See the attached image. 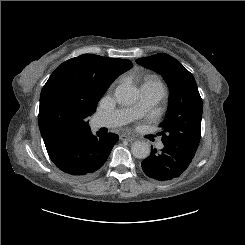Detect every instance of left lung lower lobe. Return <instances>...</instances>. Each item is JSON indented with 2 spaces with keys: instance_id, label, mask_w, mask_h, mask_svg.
Here are the masks:
<instances>
[{
  "instance_id": "0a47b994",
  "label": "left lung lower lobe",
  "mask_w": 245,
  "mask_h": 245,
  "mask_svg": "<svg viewBox=\"0 0 245 245\" xmlns=\"http://www.w3.org/2000/svg\"><path fill=\"white\" fill-rule=\"evenodd\" d=\"M164 144L161 152L151 149V154L142 161L144 173L158 181L179 177L189 166L194 156L179 147Z\"/></svg>"
}]
</instances>
